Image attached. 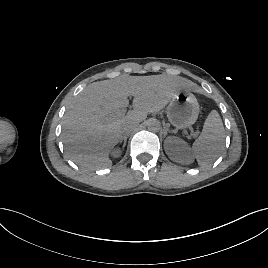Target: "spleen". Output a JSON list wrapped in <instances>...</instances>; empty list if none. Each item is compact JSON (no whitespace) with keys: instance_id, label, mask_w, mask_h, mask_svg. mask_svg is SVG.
<instances>
[{"instance_id":"3e777b00","label":"spleen","mask_w":268,"mask_h":268,"mask_svg":"<svg viewBox=\"0 0 268 268\" xmlns=\"http://www.w3.org/2000/svg\"><path fill=\"white\" fill-rule=\"evenodd\" d=\"M224 137L222 119L216 110H212L205 120L200 136L192 146L199 166L205 168L213 163L223 146Z\"/></svg>"}]
</instances>
